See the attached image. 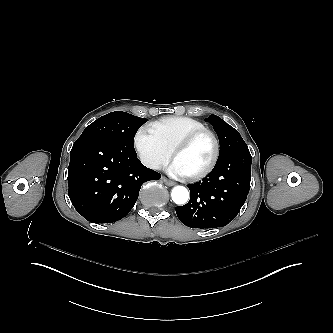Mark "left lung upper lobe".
Here are the masks:
<instances>
[{
    "mask_svg": "<svg viewBox=\"0 0 333 333\" xmlns=\"http://www.w3.org/2000/svg\"><path fill=\"white\" fill-rule=\"evenodd\" d=\"M205 121L209 122L213 126L218 135L220 142L218 160L226 157L236 150L248 148L239 132L218 116L210 115L205 119Z\"/></svg>",
    "mask_w": 333,
    "mask_h": 333,
    "instance_id": "obj_1",
    "label": "left lung upper lobe"
}]
</instances>
